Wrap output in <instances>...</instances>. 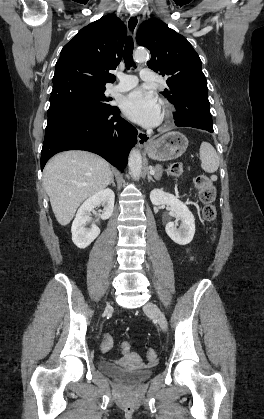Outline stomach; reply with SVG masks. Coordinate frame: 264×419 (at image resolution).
Segmentation results:
<instances>
[{"label":"stomach","mask_w":264,"mask_h":419,"mask_svg":"<svg viewBox=\"0 0 264 419\" xmlns=\"http://www.w3.org/2000/svg\"><path fill=\"white\" fill-rule=\"evenodd\" d=\"M188 147V139L180 132H169L156 140H151L145 150L150 158L167 161L180 157Z\"/></svg>","instance_id":"stomach-1"}]
</instances>
